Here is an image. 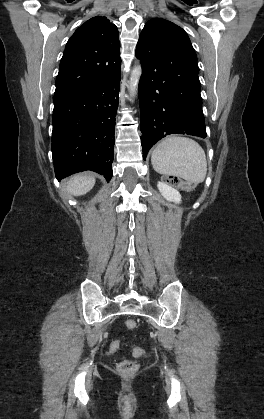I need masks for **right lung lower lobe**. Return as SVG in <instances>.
I'll list each match as a JSON object with an SVG mask.
<instances>
[{
    "instance_id": "right-lung-lower-lobe-1",
    "label": "right lung lower lobe",
    "mask_w": 264,
    "mask_h": 419,
    "mask_svg": "<svg viewBox=\"0 0 264 419\" xmlns=\"http://www.w3.org/2000/svg\"><path fill=\"white\" fill-rule=\"evenodd\" d=\"M120 71L110 79L55 94L52 157L56 178L92 170L112 178Z\"/></svg>"
}]
</instances>
